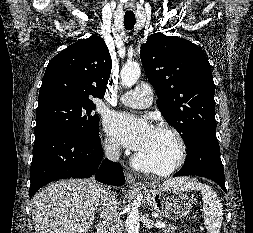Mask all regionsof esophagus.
Here are the masks:
<instances>
[{"label": "esophagus", "mask_w": 253, "mask_h": 233, "mask_svg": "<svg viewBox=\"0 0 253 233\" xmlns=\"http://www.w3.org/2000/svg\"><path fill=\"white\" fill-rule=\"evenodd\" d=\"M125 178H126V183L129 186H141L142 185L141 183L136 182L133 175L127 170H125Z\"/></svg>", "instance_id": "34e87169"}]
</instances>
